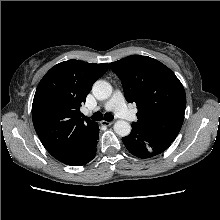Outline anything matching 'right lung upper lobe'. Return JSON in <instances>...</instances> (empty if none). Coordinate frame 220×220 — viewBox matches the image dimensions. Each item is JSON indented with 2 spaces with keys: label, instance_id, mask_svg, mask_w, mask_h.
<instances>
[{
  "label": "right lung upper lobe",
  "instance_id": "cb5924a9",
  "mask_svg": "<svg viewBox=\"0 0 220 220\" xmlns=\"http://www.w3.org/2000/svg\"><path fill=\"white\" fill-rule=\"evenodd\" d=\"M108 64L68 60L53 66L40 81L32 104V120L46 150L62 161L97 130L98 124L80 118L93 83Z\"/></svg>",
  "mask_w": 220,
  "mask_h": 220
}]
</instances>
